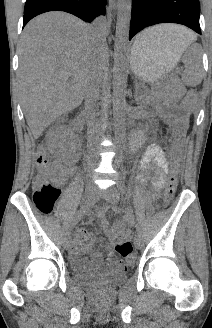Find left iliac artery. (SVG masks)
Here are the masks:
<instances>
[{
	"label": "left iliac artery",
	"mask_w": 212,
	"mask_h": 328,
	"mask_svg": "<svg viewBox=\"0 0 212 328\" xmlns=\"http://www.w3.org/2000/svg\"><path fill=\"white\" fill-rule=\"evenodd\" d=\"M118 188H119V190L122 194L126 193V187L123 183H119ZM135 228H136L137 234L140 235L141 234V228H140V225L138 223H136Z\"/></svg>",
	"instance_id": "1"
}]
</instances>
